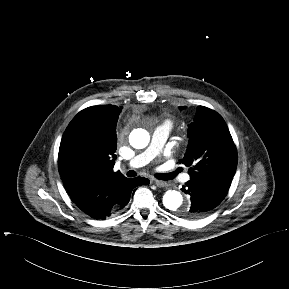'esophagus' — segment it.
<instances>
[{"label": "esophagus", "instance_id": "1", "mask_svg": "<svg viewBox=\"0 0 289 289\" xmlns=\"http://www.w3.org/2000/svg\"><path fill=\"white\" fill-rule=\"evenodd\" d=\"M154 183L157 187H160V188H163V187H166L167 186V183L164 182V181H161V180H157L155 179L154 180Z\"/></svg>", "mask_w": 289, "mask_h": 289}]
</instances>
